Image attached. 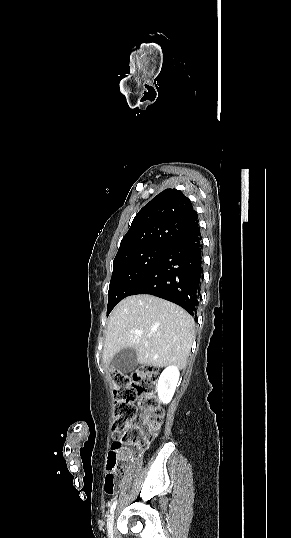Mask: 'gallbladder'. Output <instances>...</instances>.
I'll return each instance as SVG.
<instances>
[{
	"instance_id": "obj_1",
	"label": "gallbladder",
	"mask_w": 291,
	"mask_h": 538,
	"mask_svg": "<svg viewBox=\"0 0 291 538\" xmlns=\"http://www.w3.org/2000/svg\"><path fill=\"white\" fill-rule=\"evenodd\" d=\"M111 364L118 372H131L138 365L137 353L132 348H124L114 355Z\"/></svg>"
}]
</instances>
